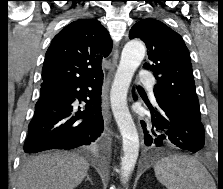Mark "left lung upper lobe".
<instances>
[{"mask_svg":"<svg viewBox=\"0 0 223 189\" xmlns=\"http://www.w3.org/2000/svg\"><path fill=\"white\" fill-rule=\"evenodd\" d=\"M129 38H140L150 60L143 67L157 80L155 98L167 108L201 121L189 51L182 37L161 21L137 22Z\"/></svg>","mask_w":223,"mask_h":189,"instance_id":"5c2ea615","label":"left lung upper lobe"}]
</instances>
